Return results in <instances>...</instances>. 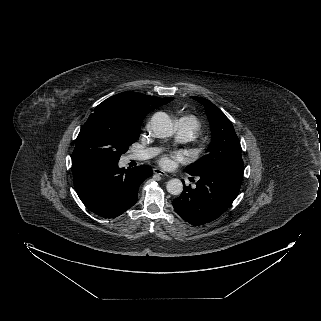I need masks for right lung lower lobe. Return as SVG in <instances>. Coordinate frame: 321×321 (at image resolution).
Here are the masks:
<instances>
[{
	"label": "right lung lower lobe",
	"instance_id": "right-lung-lower-lobe-1",
	"mask_svg": "<svg viewBox=\"0 0 321 321\" xmlns=\"http://www.w3.org/2000/svg\"><path fill=\"white\" fill-rule=\"evenodd\" d=\"M75 190L84 205L95 214L115 218L132 207L140 184L153 171L148 165L120 169L118 163L72 166Z\"/></svg>",
	"mask_w": 321,
	"mask_h": 321
}]
</instances>
